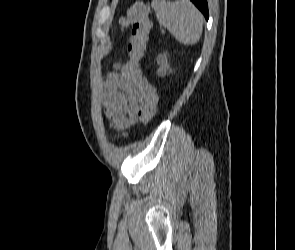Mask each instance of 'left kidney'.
<instances>
[{"label": "left kidney", "instance_id": "5707ae66", "mask_svg": "<svg viewBox=\"0 0 295 250\" xmlns=\"http://www.w3.org/2000/svg\"><path fill=\"white\" fill-rule=\"evenodd\" d=\"M157 63L160 65L161 69L166 71L170 69V66L167 61V55L163 54L157 58Z\"/></svg>", "mask_w": 295, "mask_h": 250}]
</instances>
